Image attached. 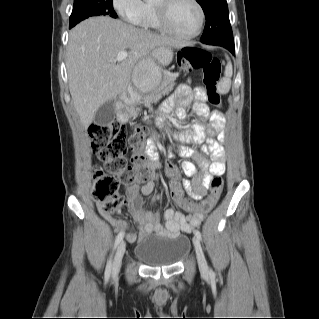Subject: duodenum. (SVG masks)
<instances>
[{"instance_id":"duodenum-1","label":"duodenum","mask_w":319,"mask_h":319,"mask_svg":"<svg viewBox=\"0 0 319 319\" xmlns=\"http://www.w3.org/2000/svg\"><path fill=\"white\" fill-rule=\"evenodd\" d=\"M129 103V96L127 93H124L122 99L118 101L115 106V113L118 121L126 122L128 120L127 106Z\"/></svg>"}]
</instances>
